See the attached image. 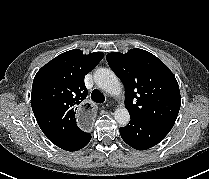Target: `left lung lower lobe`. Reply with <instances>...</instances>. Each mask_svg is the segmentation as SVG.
Wrapping results in <instances>:
<instances>
[{
	"label": "left lung lower lobe",
	"mask_w": 209,
	"mask_h": 179,
	"mask_svg": "<svg viewBox=\"0 0 209 179\" xmlns=\"http://www.w3.org/2000/svg\"><path fill=\"white\" fill-rule=\"evenodd\" d=\"M127 126L119 129L122 139L132 148L146 150L158 144L171 130L170 127L156 124L130 115Z\"/></svg>",
	"instance_id": "left-lung-lower-lobe-1"
}]
</instances>
